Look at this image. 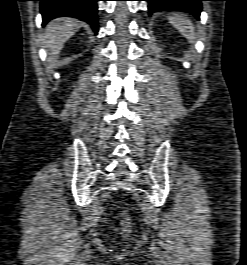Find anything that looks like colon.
<instances>
[{
    "instance_id": "1",
    "label": "colon",
    "mask_w": 247,
    "mask_h": 265,
    "mask_svg": "<svg viewBox=\"0 0 247 265\" xmlns=\"http://www.w3.org/2000/svg\"><path fill=\"white\" fill-rule=\"evenodd\" d=\"M122 222V237L127 238L132 230V224L129 214L126 211H123L121 214Z\"/></svg>"
}]
</instances>
